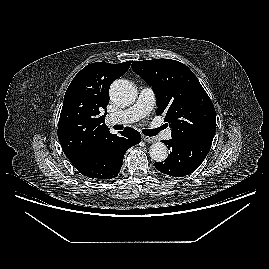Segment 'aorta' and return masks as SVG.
Masks as SVG:
<instances>
[{
  "instance_id": "1",
  "label": "aorta",
  "mask_w": 269,
  "mask_h": 269,
  "mask_svg": "<svg viewBox=\"0 0 269 269\" xmlns=\"http://www.w3.org/2000/svg\"><path fill=\"white\" fill-rule=\"evenodd\" d=\"M110 97L116 105L128 106L135 101L136 88L128 80H116L110 87ZM149 154L152 160L162 162L168 156V148L164 143L156 142L150 146Z\"/></svg>"
}]
</instances>
